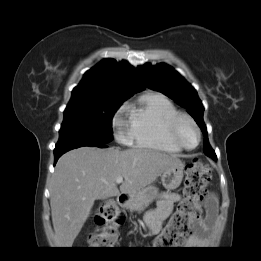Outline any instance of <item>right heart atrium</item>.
<instances>
[{
    "label": "right heart atrium",
    "mask_w": 261,
    "mask_h": 261,
    "mask_svg": "<svg viewBox=\"0 0 261 261\" xmlns=\"http://www.w3.org/2000/svg\"><path fill=\"white\" fill-rule=\"evenodd\" d=\"M122 124H123V121H122L120 118H118V119L116 120V125H117V126H121ZM117 137H118V139H119L120 141H123V142L129 141V140H128V136L126 137L124 134H119Z\"/></svg>",
    "instance_id": "right-heart-atrium-1"
}]
</instances>
